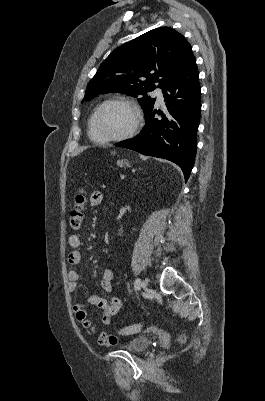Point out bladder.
Here are the masks:
<instances>
[{"mask_svg": "<svg viewBox=\"0 0 265 401\" xmlns=\"http://www.w3.org/2000/svg\"><path fill=\"white\" fill-rule=\"evenodd\" d=\"M151 339L145 336L136 337L132 342L124 344V349L133 352L141 353L151 346Z\"/></svg>", "mask_w": 265, "mask_h": 401, "instance_id": "bladder-1", "label": "bladder"}]
</instances>
